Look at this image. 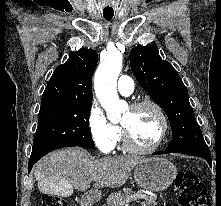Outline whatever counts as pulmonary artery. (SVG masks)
<instances>
[{"mask_svg": "<svg viewBox=\"0 0 221 206\" xmlns=\"http://www.w3.org/2000/svg\"><path fill=\"white\" fill-rule=\"evenodd\" d=\"M117 89L121 95L129 96L134 89L133 80L127 75L120 76Z\"/></svg>", "mask_w": 221, "mask_h": 206, "instance_id": "1", "label": "pulmonary artery"}]
</instances>
